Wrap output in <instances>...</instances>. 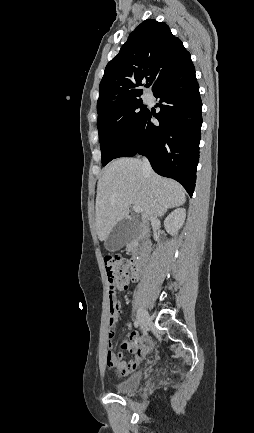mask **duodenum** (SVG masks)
<instances>
[{"label": "duodenum", "instance_id": "410a0bca", "mask_svg": "<svg viewBox=\"0 0 254 433\" xmlns=\"http://www.w3.org/2000/svg\"><path fill=\"white\" fill-rule=\"evenodd\" d=\"M130 250L136 253L131 261V271L134 280H138L142 274L148 257V240L144 237L140 243L132 244Z\"/></svg>", "mask_w": 254, "mask_h": 433}]
</instances>
